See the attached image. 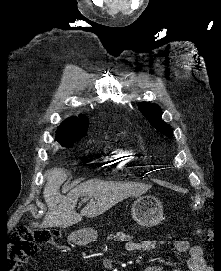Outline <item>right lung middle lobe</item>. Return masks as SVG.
Wrapping results in <instances>:
<instances>
[{
    "instance_id": "right-lung-middle-lobe-1",
    "label": "right lung middle lobe",
    "mask_w": 221,
    "mask_h": 271,
    "mask_svg": "<svg viewBox=\"0 0 221 271\" xmlns=\"http://www.w3.org/2000/svg\"><path fill=\"white\" fill-rule=\"evenodd\" d=\"M63 147H72L73 142L76 140H58L56 139Z\"/></svg>"
}]
</instances>
